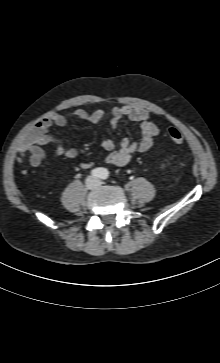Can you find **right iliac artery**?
<instances>
[{"mask_svg": "<svg viewBox=\"0 0 220 363\" xmlns=\"http://www.w3.org/2000/svg\"><path fill=\"white\" fill-rule=\"evenodd\" d=\"M102 170H103V169H101V168H95V169H93V170L91 171V174H92V176H94V177H101V175H102Z\"/></svg>", "mask_w": 220, "mask_h": 363, "instance_id": "right-iliac-artery-1", "label": "right iliac artery"}]
</instances>
